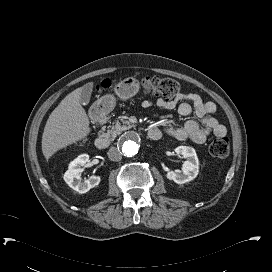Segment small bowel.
<instances>
[{
    "mask_svg": "<svg viewBox=\"0 0 272 272\" xmlns=\"http://www.w3.org/2000/svg\"><path fill=\"white\" fill-rule=\"evenodd\" d=\"M154 104L164 109L177 108L178 114L183 117L194 114L201 121L200 125L196 120L187 119L180 128L164 124L162 126L164 133L177 140L190 139L196 143L202 144L211 134L217 137L225 136L227 134L226 126L219 123L213 116L216 111L215 104L213 102H205L200 95L196 93H180L176 99L172 101L158 99L156 103L147 99L143 101L142 106L144 108H151ZM153 126L157 127L156 124Z\"/></svg>",
    "mask_w": 272,
    "mask_h": 272,
    "instance_id": "c3829d8e",
    "label": "small bowel"
}]
</instances>
